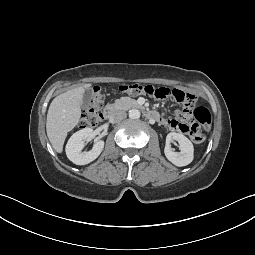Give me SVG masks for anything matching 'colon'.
I'll list each match as a JSON object with an SVG mask.
<instances>
[{"label": "colon", "mask_w": 255, "mask_h": 255, "mask_svg": "<svg viewBox=\"0 0 255 255\" xmlns=\"http://www.w3.org/2000/svg\"><path fill=\"white\" fill-rule=\"evenodd\" d=\"M121 92L139 95L144 94L148 97L164 99L172 97L182 104V114L188 119H194L204 129L208 130L211 125V115L209 111L202 107H195L196 99L191 92H183L179 89L169 90L165 87H155L152 85H142L132 83L119 87ZM104 102V95L100 87H95L90 103L83 111L80 127L93 128L96 127L102 120L101 108ZM176 112H181V107H176ZM190 139L195 143H200L204 140V135L199 131L196 125H192L187 131Z\"/></svg>", "instance_id": "colon-1"}]
</instances>
